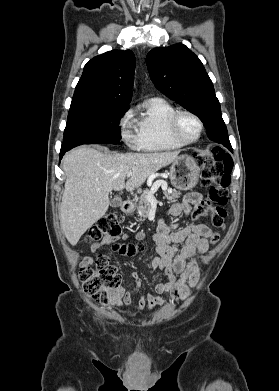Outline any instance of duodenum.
<instances>
[{"instance_id":"obj_1","label":"duodenum","mask_w":279,"mask_h":391,"mask_svg":"<svg viewBox=\"0 0 279 391\" xmlns=\"http://www.w3.org/2000/svg\"><path fill=\"white\" fill-rule=\"evenodd\" d=\"M122 210L126 214L131 213L133 210V202L131 200H124L122 204Z\"/></svg>"}]
</instances>
